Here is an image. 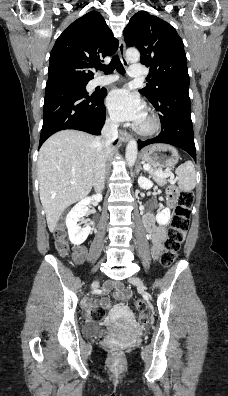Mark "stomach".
<instances>
[{"label":"stomach","instance_id":"stomach-1","mask_svg":"<svg viewBox=\"0 0 228 396\" xmlns=\"http://www.w3.org/2000/svg\"><path fill=\"white\" fill-rule=\"evenodd\" d=\"M141 159L154 167L173 168L180 158L178 151L168 144H154L144 148Z\"/></svg>","mask_w":228,"mask_h":396}]
</instances>
